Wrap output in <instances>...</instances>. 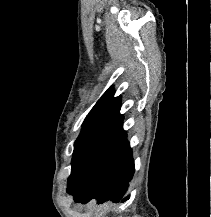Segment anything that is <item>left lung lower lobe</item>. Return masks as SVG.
<instances>
[{
	"mask_svg": "<svg viewBox=\"0 0 211 217\" xmlns=\"http://www.w3.org/2000/svg\"><path fill=\"white\" fill-rule=\"evenodd\" d=\"M135 172L132 149L127 133L121 129L92 158L80 175L68 183L67 192L77 202L93 198L102 203L118 202L125 194ZM129 199V196L123 201Z\"/></svg>",
	"mask_w": 211,
	"mask_h": 217,
	"instance_id": "left-lung-lower-lobe-1",
	"label": "left lung lower lobe"
}]
</instances>
